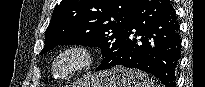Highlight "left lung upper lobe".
I'll return each mask as SVG.
<instances>
[{
    "label": "left lung upper lobe",
    "instance_id": "left-lung-upper-lobe-1",
    "mask_svg": "<svg viewBox=\"0 0 205 87\" xmlns=\"http://www.w3.org/2000/svg\"><path fill=\"white\" fill-rule=\"evenodd\" d=\"M138 0H62L45 32V54L58 45L99 47L105 65L119 53ZM99 66V67H100Z\"/></svg>",
    "mask_w": 205,
    "mask_h": 87
}]
</instances>
